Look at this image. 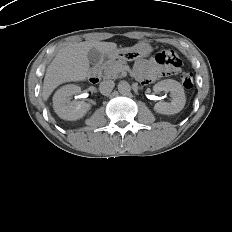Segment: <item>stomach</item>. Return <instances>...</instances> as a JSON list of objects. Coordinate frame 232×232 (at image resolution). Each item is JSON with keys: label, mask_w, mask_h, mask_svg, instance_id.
<instances>
[{"label": "stomach", "mask_w": 232, "mask_h": 232, "mask_svg": "<svg viewBox=\"0 0 232 232\" xmlns=\"http://www.w3.org/2000/svg\"><path fill=\"white\" fill-rule=\"evenodd\" d=\"M152 52V47L147 43H139L132 48L117 49L115 52L106 55V59L111 60H136L147 57Z\"/></svg>", "instance_id": "0dacf381"}]
</instances>
